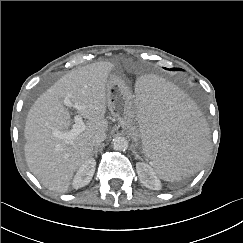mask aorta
<instances>
[{"mask_svg":"<svg viewBox=\"0 0 243 243\" xmlns=\"http://www.w3.org/2000/svg\"><path fill=\"white\" fill-rule=\"evenodd\" d=\"M112 147L117 151H125L128 148V140L123 136H117L112 140Z\"/></svg>","mask_w":243,"mask_h":243,"instance_id":"aorta-1","label":"aorta"}]
</instances>
